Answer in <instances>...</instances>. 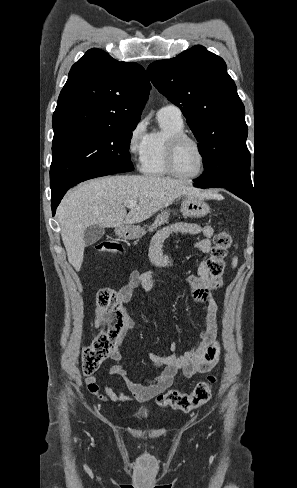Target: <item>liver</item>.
<instances>
[{"label":"liver","instance_id":"6515ba94","mask_svg":"<svg viewBox=\"0 0 297 488\" xmlns=\"http://www.w3.org/2000/svg\"><path fill=\"white\" fill-rule=\"evenodd\" d=\"M206 193L170 177L115 175L96 178L67 192L58 209L61 237L69 263L80 271L84 232L91 225L119 228L140 223L182 195ZM131 201L138 204L127 213Z\"/></svg>","mask_w":297,"mask_h":488}]
</instances>
